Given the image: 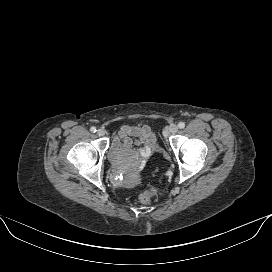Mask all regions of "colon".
Segmentation results:
<instances>
[{
	"mask_svg": "<svg viewBox=\"0 0 272 272\" xmlns=\"http://www.w3.org/2000/svg\"><path fill=\"white\" fill-rule=\"evenodd\" d=\"M157 195V190L154 187H150L143 191L139 197L143 204H148Z\"/></svg>",
	"mask_w": 272,
	"mask_h": 272,
	"instance_id": "5ec220e1",
	"label": "colon"
}]
</instances>
